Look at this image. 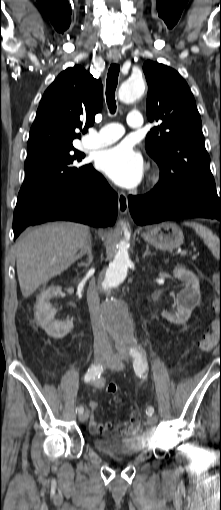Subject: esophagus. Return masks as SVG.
<instances>
[{"label": "esophagus", "instance_id": "1", "mask_svg": "<svg viewBox=\"0 0 221 510\" xmlns=\"http://www.w3.org/2000/svg\"><path fill=\"white\" fill-rule=\"evenodd\" d=\"M112 58L114 62H118L121 58V55L119 52H114L112 54ZM118 210L120 214L125 215L128 210V198L127 195L123 192H120L118 195Z\"/></svg>", "mask_w": 221, "mask_h": 510}]
</instances>
